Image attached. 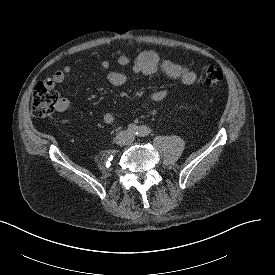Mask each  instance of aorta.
I'll use <instances>...</instances> for the list:
<instances>
[{
	"label": "aorta",
	"instance_id": "762f6f07",
	"mask_svg": "<svg viewBox=\"0 0 275 275\" xmlns=\"http://www.w3.org/2000/svg\"><path fill=\"white\" fill-rule=\"evenodd\" d=\"M143 131H144V133H146V132H147V130H146V129H144Z\"/></svg>",
	"mask_w": 275,
	"mask_h": 275
}]
</instances>
